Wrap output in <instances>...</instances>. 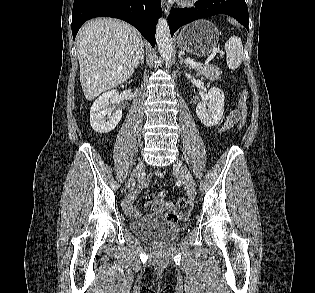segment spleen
Returning a JSON list of instances; mask_svg holds the SVG:
<instances>
[{
    "label": "spleen",
    "mask_w": 315,
    "mask_h": 293,
    "mask_svg": "<svg viewBox=\"0 0 315 293\" xmlns=\"http://www.w3.org/2000/svg\"><path fill=\"white\" fill-rule=\"evenodd\" d=\"M227 55V66L229 69H236L240 66L243 59V44L239 37L233 36L225 43Z\"/></svg>",
    "instance_id": "3e777b00"
}]
</instances>
